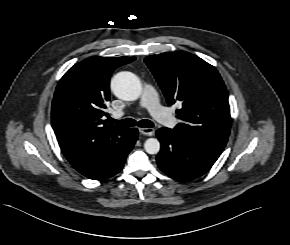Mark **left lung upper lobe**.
<instances>
[{
  "label": "left lung upper lobe",
  "instance_id": "5c2ea615",
  "mask_svg": "<svg viewBox=\"0 0 290 245\" xmlns=\"http://www.w3.org/2000/svg\"><path fill=\"white\" fill-rule=\"evenodd\" d=\"M168 105L177 100L181 119L173 130L193 141L223 151L231 128L228 92L218 71L188 52L145 58Z\"/></svg>",
  "mask_w": 290,
  "mask_h": 245
}]
</instances>
